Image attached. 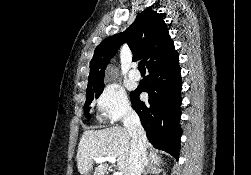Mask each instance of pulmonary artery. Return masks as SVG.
Here are the masks:
<instances>
[{"mask_svg": "<svg viewBox=\"0 0 251 175\" xmlns=\"http://www.w3.org/2000/svg\"><path fill=\"white\" fill-rule=\"evenodd\" d=\"M133 77H134L135 79H139V74H138V73H134V74H133Z\"/></svg>", "mask_w": 251, "mask_h": 175, "instance_id": "obj_1", "label": "pulmonary artery"}]
</instances>
